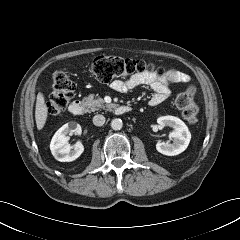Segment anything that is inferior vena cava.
<instances>
[{
	"mask_svg": "<svg viewBox=\"0 0 240 240\" xmlns=\"http://www.w3.org/2000/svg\"><path fill=\"white\" fill-rule=\"evenodd\" d=\"M104 123H105V117L103 115L98 114L93 117V124L95 126H102L104 125Z\"/></svg>",
	"mask_w": 240,
	"mask_h": 240,
	"instance_id": "1",
	"label": "inferior vena cava"
}]
</instances>
